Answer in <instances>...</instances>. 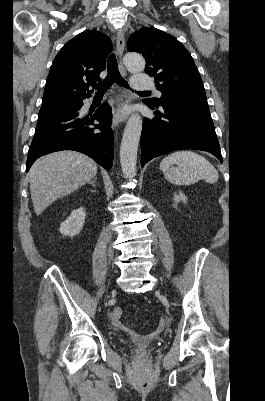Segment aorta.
<instances>
[{
	"label": "aorta",
	"mask_w": 265,
	"mask_h": 401,
	"mask_svg": "<svg viewBox=\"0 0 265 401\" xmlns=\"http://www.w3.org/2000/svg\"><path fill=\"white\" fill-rule=\"evenodd\" d=\"M123 62L130 72L144 70L146 64L145 58L137 52H127ZM141 130L142 118L140 114H131L126 122L120 146V162L125 178H134L136 174L137 150Z\"/></svg>",
	"instance_id": "1"
}]
</instances>
